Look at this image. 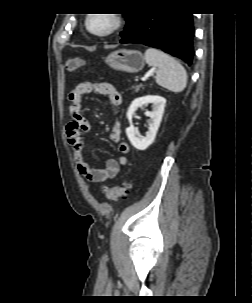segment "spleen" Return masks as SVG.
<instances>
[{"mask_svg": "<svg viewBox=\"0 0 252 303\" xmlns=\"http://www.w3.org/2000/svg\"><path fill=\"white\" fill-rule=\"evenodd\" d=\"M145 60L149 66L157 68L155 80L158 85L174 93L185 89L187 73L176 59L158 49L148 48Z\"/></svg>", "mask_w": 252, "mask_h": 303, "instance_id": "3e777b00", "label": "spleen"}]
</instances>
